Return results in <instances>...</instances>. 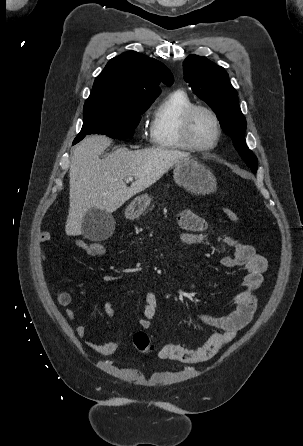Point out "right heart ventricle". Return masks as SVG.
<instances>
[{
  "label": "right heart ventricle",
  "mask_w": 303,
  "mask_h": 446,
  "mask_svg": "<svg viewBox=\"0 0 303 446\" xmlns=\"http://www.w3.org/2000/svg\"><path fill=\"white\" fill-rule=\"evenodd\" d=\"M194 103L186 91L176 89L159 103L153 112L149 127L153 146L167 150H186L180 136L181 119Z\"/></svg>",
  "instance_id": "right-heart-ventricle-1"
}]
</instances>
